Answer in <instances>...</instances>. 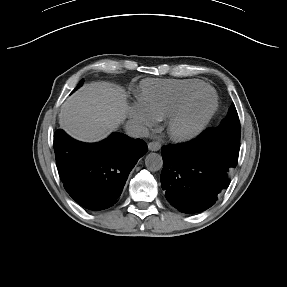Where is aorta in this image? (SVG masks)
<instances>
[{
  "mask_svg": "<svg viewBox=\"0 0 287 287\" xmlns=\"http://www.w3.org/2000/svg\"><path fill=\"white\" fill-rule=\"evenodd\" d=\"M145 166L149 171H159L163 166L162 156L158 153H149L145 158Z\"/></svg>",
  "mask_w": 287,
  "mask_h": 287,
  "instance_id": "aorta-1",
  "label": "aorta"
}]
</instances>
